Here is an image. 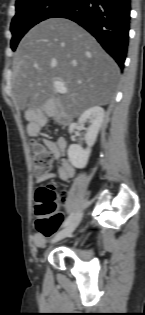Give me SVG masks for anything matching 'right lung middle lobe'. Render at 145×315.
I'll list each match as a JSON object with an SVG mask.
<instances>
[{
  "label": "right lung middle lobe",
  "instance_id": "1",
  "mask_svg": "<svg viewBox=\"0 0 145 315\" xmlns=\"http://www.w3.org/2000/svg\"><path fill=\"white\" fill-rule=\"evenodd\" d=\"M73 0H20L16 2V15L12 19L11 48L15 50L21 38L39 22L52 18Z\"/></svg>",
  "mask_w": 145,
  "mask_h": 315
}]
</instances>
